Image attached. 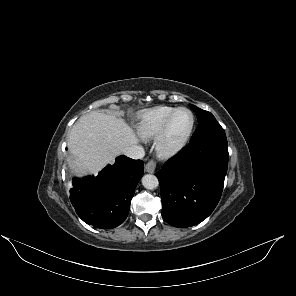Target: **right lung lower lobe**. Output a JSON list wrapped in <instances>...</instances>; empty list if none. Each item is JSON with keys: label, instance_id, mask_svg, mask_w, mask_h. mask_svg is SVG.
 <instances>
[{"label": "right lung lower lobe", "instance_id": "right-lung-lower-lobe-1", "mask_svg": "<svg viewBox=\"0 0 296 296\" xmlns=\"http://www.w3.org/2000/svg\"><path fill=\"white\" fill-rule=\"evenodd\" d=\"M143 169V161L119 156L97 177L74 178L70 200L78 216L96 228L119 226L128 215Z\"/></svg>", "mask_w": 296, "mask_h": 296}]
</instances>
